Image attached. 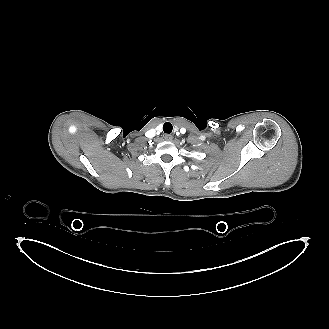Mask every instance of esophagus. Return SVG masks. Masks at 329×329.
I'll return each instance as SVG.
<instances>
[{
	"mask_svg": "<svg viewBox=\"0 0 329 329\" xmlns=\"http://www.w3.org/2000/svg\"><path fill=\"white\" fill-rule=\"evenodd\" d=\"M164 138H165L166 141H171V140L173 139V136L170 135V134H166V135L164 136Z\"/></svg>",
	"mask_w": 329,
	"mask_h": 329,
	"instance_id": "1",
	"label": "esophagus"
}]
</instances>
